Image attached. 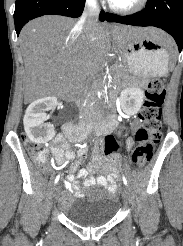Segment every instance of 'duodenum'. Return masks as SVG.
Here are the masks:
<instances>
[{
    "instance_id": "obj_1",
    "label": "duodenum",
    "mask_w": 183,
    "mask_h": 246,
    "mask_svg": "<svg viewBox=\"0 0 183 246\" xmlns=\"http://www.w3.org/2000/svg\"><path fill=\"white\" fill-rule=\"evenodd\" d=\"M65 135L75 141H88V136L85 133H78V129L74 124H67L64 128ZM94 151H101V145L97 139L92 140Z\"/></svg>"
}]
</instances>
